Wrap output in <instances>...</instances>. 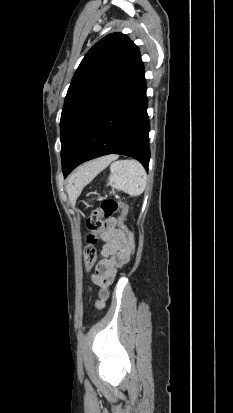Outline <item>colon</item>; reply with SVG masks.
<instances>
[{"label":"colon","mask_w":233,"mask_h":413,"mask_svg":"<svg viewBox=\"0 0 233 413\" xmlns=\"http://www.w3.org/2000/svg\"><path fill=\"white\" fill-rule=\"evenodd\" d=\"M119 212L118 227L119 231L126 237L127 249L130 256L134 252V242L131 232L124 224L126 206L124 203L115 199H104L99 207L86 219L87 233L85 235L86 246L84 249V259L86 268H92L96 261L97 251L95 243L99 235L106 229V221Z\"/></svg>","instance_id":"obj_1"}]
</instances>
